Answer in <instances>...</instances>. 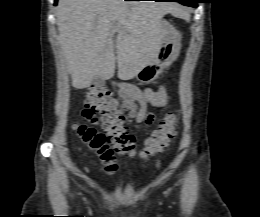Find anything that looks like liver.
Here are the masks:
<instances>
[{
	"mask_svg": "<svg viewBox=\"0 0 260 217\" xmlns=\"http://www.w3.org/2000/svg\"><path fill=\"white\" fill-rule=\"evenodd\" d=\"M167 13L188 17L182 8L169 2L60 0L58 40L73 87L87 88L95 76L103 80L112 78L116 62L120 79L136 77L144 65L156 60L161 22Z\"/></svg>",
	"mask_w": 260,
	"mask_h": 217,
	"instance_id": "1",
	"label": "liver"
}]
</instances>
